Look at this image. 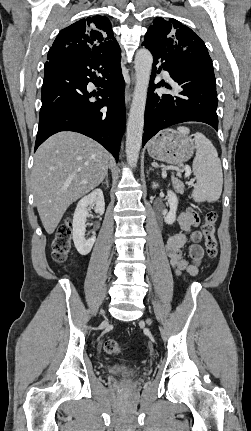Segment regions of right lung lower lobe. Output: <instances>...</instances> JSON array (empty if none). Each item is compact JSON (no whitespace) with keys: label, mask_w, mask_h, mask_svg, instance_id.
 Masks as SVG:
<instances>
[{"label":"right lung lower lobe","mask_w":251,"mask_h":431,"mask_svg":"<svg viewBox=\"0 0 251 431\" xmlns=\"http://www.w3.org/2000/svg\"><path fill=\"white\" fill-rule=\"evenodd\" d=\"M89 82L99 87L97 92L87 91ZM124 87L120 61L107 66L55 54L45 63L35 150L57 132L74 131L96 140L118 160L125 130ZM90 97L98 100L91 102Z\"/></svg>","instance_id":"98d812e1"}]
</instances>
